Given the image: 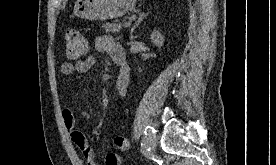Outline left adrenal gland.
I'll return each instance as SVG.
<instances>
[{"mask_svg":"<svg viewBox=\"0 0 276 165\" xmlns=\"http://www.w3.org/2000/svg\"><path fill=\"white\" fill-rule=\"evenodd\" d=\"M148 15V13H139V16L135 22V24L133 25V27L130 30V34L133 33V31L136 29V27L143 21V19Z\"/></svg>","mask_w":276,"mask_h":165,"instance_id":"left-adrenal-gland-1","label":"left adrenal gland"}]
</instances>
